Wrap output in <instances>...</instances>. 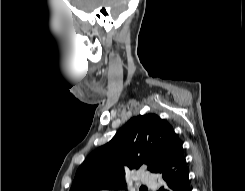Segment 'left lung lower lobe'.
I'll list each match as a JSON object with an SVG mask.
<instances>
[{
    "mask_svg": "<svg viewBox=\"0 0 245 191\" xmlns=\"http://www.w3.org/2000/svg\"><path fill=\"white\" fill-rule=\"evenodd\" d=\"M163 186L159 191H191L186 159L181 147L171 163L159 172Z\"/></svg>",
    "mask_w": 245,
    "mask_h": 191,
    "instance_id": "1",
    "label": "left lung lower lobe"
}]
</instances>
